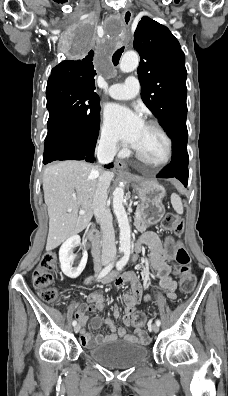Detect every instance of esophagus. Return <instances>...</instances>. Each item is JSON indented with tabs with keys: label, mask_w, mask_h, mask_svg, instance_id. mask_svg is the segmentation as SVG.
Returning a JSON list of instances; mask_svg holds the SVG:
<instances>
[{
	"label": "esophagus",
	"mask_w": 228,
	"mask_h": 396,
	"mask_svg": "<svg viewBox=\"0 0 228 396\" xmlns=\"http://www.w3.org/2000/svg\"><path fill=\"white\" fill-rule=\"evenodd\" d=\"M132 17H133V14H132L131 10L125 9L123 11L122 19H123V22H124V33L125 34L127 33V28L129 27V25H130V23L132 21ZM115 164H116V167L119 168V169H126L127 168L126 164L123 161H121V160H116Z\"/></svg>",
	"instance_id": "1"
}]
</instances>
